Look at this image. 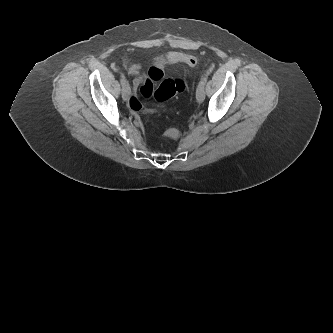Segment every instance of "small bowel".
Listing matches in <instances>:
<instances>
[{
	"label": "small bowel",
	"instance_id": "small-bowel-1",
	"mask_svg": "<svg viewBox=\"0 0 333 333\" xmlns=\"http://www.w3.org/2000/svg\"><path fill=\"white\" fill-rule=\"evenodd\" d=\"M153 62L155 66H150L146 70V77L150 81L162 82L166 78V71L162 67L171 63H185L187 65L193 66L196 64V59L193 56L182 52H167L154 56ZM128 71L131 75L134 76L133 85L135 87L139 86L144 80L143 77L139 75V68L137 66H131L129 67ZM140 93L141 96L147 97V94H144L141 91ZM134 98L139 104H141L138 98Z\"/></svg>",
	"mask_w": 333,
	"mask_h": 333
}]
</instances>
